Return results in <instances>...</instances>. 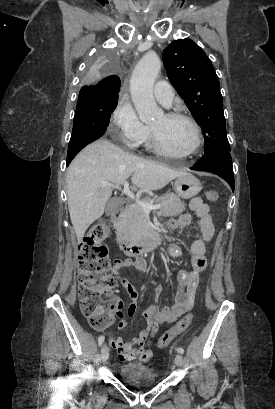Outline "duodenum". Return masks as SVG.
<instances>
[{
	"mask_svg": "<svg viewBox=\"0 0 275 409\" xmlns=\"http://www.w3.org/2000/svg\"><path fill=\"white\" fill-rule=\"evenodd\" d=\"M124 211V208H120L116 212H114L111 216V222L118 230L117 242L127 255L133 257L142 256L155 249L162 243V234L158 230H150L147 236L139 242L127 240L120 229Z\"/></svg>",
	"mask_w": 275,
	"mask_h": 409,
	"instance_id": "1",
	"label": "duodenum"
}]
</instances>
